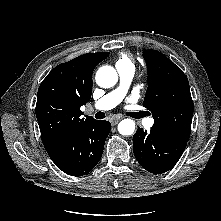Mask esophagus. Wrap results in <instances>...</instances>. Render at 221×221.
<instances>
[{"label":"esophagus","instance_id":"obj_1","mask_svg":"<svg viewBox=\"0 0 221 221\" xmlns=\"http://www.w3.org/2000/svg\"><path fill=\"white\" fill-rule=\"evenodd\" d=\"M121 120V117H115L111 119L112 125H116Z\"/></svg>","mask_w":221,"mask_h":221}]
</instances>
